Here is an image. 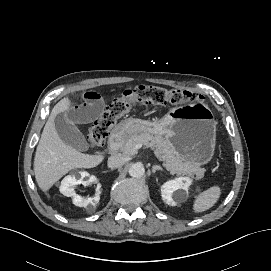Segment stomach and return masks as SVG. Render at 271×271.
I'll return each instance as SVG.
<instances>
[{
  "mask_svg": "<svg viewBox=\"0 0 271 271\" xmlns=\"http://www.w3.org/2000/svg\"><path fill=\"white\" fill-rule=\"evenodd\" d=\"M216 124L207 106L193 103L175 106L156 121L129 118L119 124L117 130L126 137L141 132L161 135L183 159L191 164L203 165L214 154Z\"/></svg>",
  "mask_w": 271,
  "mask_h": 271,
  "instance_id": "0dacf381",
  "label": "stomach"
}]
</instances>
